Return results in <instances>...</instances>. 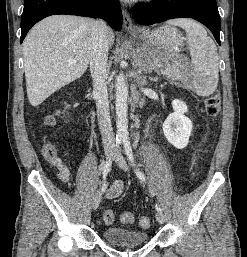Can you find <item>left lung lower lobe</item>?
I'll use <instances>...</instances> for the list:
<instances>
[{
	"mask_svg": "<svg viewBox=\"0 0 247 257\" xmlns=\"http://www.w3.org/2000/svg\"><path fill=\"white\" fill-rule=\"evenodd\" d=\"M132 16L137 23L145 25L174 18H193L207 26L221 45V20L216 0H152L151 4H136Z\"/></svg>",
	"mask_w": 247,
	"mask_h": 257,
	"instance_id": "obj_1",
	"label": "left lung lower lobe"
}]
</instances>
